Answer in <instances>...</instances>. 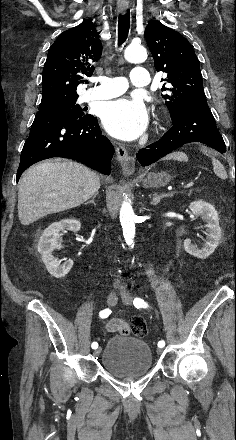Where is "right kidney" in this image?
Instances as JSON below:
<instances>
[{
  "mask_svg": "<svg viewBox=\"0 0 236 440\" xmlns=\"http://www.w3.org/2000/svg\"><path fill=\"white\" fill-rule=\"evenodd\" d=\"M78 232L81 229V223L75 219H63L48 226L40 237L38 242V252L41 254L47 271L55 278L65 277L73 266V260L69 259L61 264L57 258L52 255L54 250L62 248L61 233L62 230Z\"/></svg>",
  "mask_w": 236,
  "mask_h": 440,
  "instance_id": "right-kidney-1",
  "label": "right kidney"
}]
</instances>
